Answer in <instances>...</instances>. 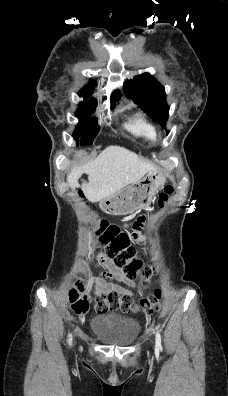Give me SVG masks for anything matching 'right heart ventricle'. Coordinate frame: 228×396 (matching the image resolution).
<instances>
[{
	"label": "right heart ventricle",
	"mask_w": 228,
	"mask_h": 396,
	"mask_svg": "<svg viewBox=\"0 0 228 396\" xmlns=\"http://www.w3.org/2000/svg\"><path fill=\"white\" fill-rule=\"evenodd\" d=\"M125 127L133 135L146 141L155 142L157 140L158 134L155 126L142 114H136L126 123Z\"/></svg>",
	"instance_id": "obj_1"
}]
</instances>
